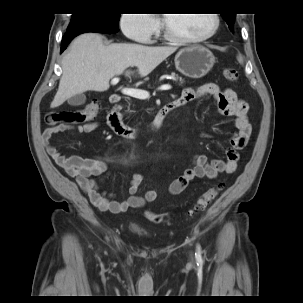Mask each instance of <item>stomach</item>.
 Segmentation results:
<instances>
[{
  "instance_id": "0dacf381",
  "label": "stomach",
  "mask_w": 303,
  "mask_h": 303,
  "mask_svg": "<svg viewBox=\"0 0 303 303\" xmlns=\"http://www.w3.org/2000/svg\"><path fill=\"white\" fill-rule=\"evenodd\" d=\"M176 69L183 75L198 79L204 77L213 67L215 57L203 46L181 49L175 56Z\"/></svg>"
}]
</instances>
